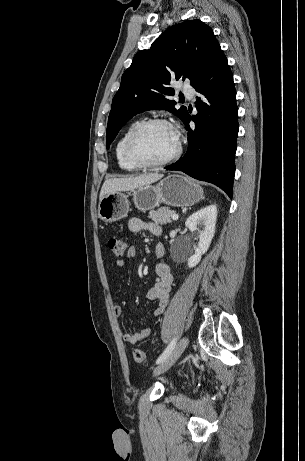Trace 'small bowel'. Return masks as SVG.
I'll return each mask as SVG.
<instances>
[{
	"label": "small bowel",
	"instance_id": "small-bowel-1",
	"mask_svg": "<svg viewBox=\"0 0 305 461\" xmlns=\"http://www.w3.org/2000/svg\"><path fill=\"white\" fill-rule=\"evenodd\" d=\"M129 230L132 233H150L154 236H160L162 234V228L160 225L145 221L139 218H133L129 221ZM154 254L157 258H163L165 255V247L162 243H157L154 248ZM137 255V249L134 246H130L126 249L125 256L127 259L135 258ZM126 262L123 258H119L116 261V266L120 270H124ZM156 280L153 287L148 291L147 298L156 303L154 314L155 316L161 315L169 302L170 294L173 286V276L170 271L168 264L159 262L155 267ZM113 312L115 315L120 316L122 314V307L119 304L113 305ZM152 334L151 328H143L137 332L130 333L126 332L123 335V339L126 343L135 345L138 342L144 340Z\"/></svg>",
	"mask_w": 305,
	"mask_h": 461
}]
</instances>
